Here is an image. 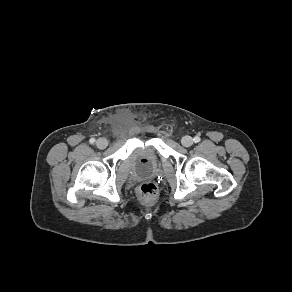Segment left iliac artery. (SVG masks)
<instances>
[{
  "label": "left iliac artery",
  "instance_id": "1",
  "mask_svg": "<svg viewBox=\"0 0 292 292\" xmlns=\"http://www.w3.org/2000/svg\"><path fill=\"white\" fill-rule=\"evenodd\" d=\"M193 140H194L195 143H198L200 141V137L199 136H195Z\"/></svg>",
  "mask_w": 292,
  "mask_h": 292
}]
</instances>
